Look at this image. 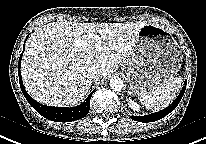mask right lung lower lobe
<instances>
[{
  "mask_svg": "<svg viewBox=\"0 0 206 144\" xmlns=\"http://www.w3.org/2000/svg\"><path fill=\"white\" fill-rule=\"evenodd\" d=\"M27 40V38H26ZM25 40V41H26ZM25 45V44H24ZM23 54V52H22ZM22 54L20 55L19 58V63H18V74H19V83L21 90L28 101V103L43 117H45L48 120L51 121H56V122H70V121H75L78 119H81L85 117L89 110H90V99L93 94V92L90 93V95L86 98V100L80 104L79 106L72 107V108H67V107H50V106H45L34 99H32L28 93L25 91V88L22 83L21 79V73H20V62L22 58Z\"/></svg>",
  "mask_w": 206,
  "mask_h": 144,
  "instance_id": "obj_1",
  "label": "right lung lower lobe"
}]
</instances>
